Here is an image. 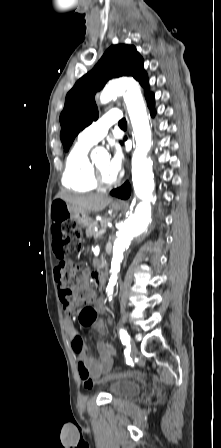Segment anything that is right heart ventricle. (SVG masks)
I'll return each instance as SVG.
<instances>
[{
    "mask_svg": "<svg viewBox=\"0 0 221 448\" xmlns=\"http://www.w3.org/2000/svg\"><path fill=\"white\" fill-rule=\"evenodd\" d=\"M89 148L90 146L78 142L65 161L62 184L75 192H92L98 188L88 157Z\"/></svg>",
    "mask_w": 221,
    "mask_h": 448,
    "instance_id": "e07e8e85",
    "label": "right heart ventricle"
}]
</instances>
